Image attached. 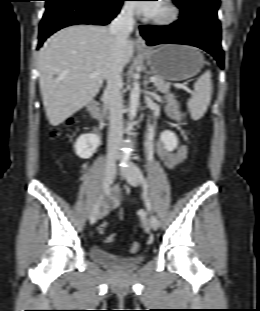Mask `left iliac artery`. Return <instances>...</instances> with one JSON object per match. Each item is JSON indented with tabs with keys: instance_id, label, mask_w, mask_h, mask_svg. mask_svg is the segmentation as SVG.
Listing matches in <instances>:
<instances>
[{
	"instance_id": "44dca946",
	"label": "left iliac artery",
	"mask_w": 260,
	"mask_h": 311,
	"mask_svg": "<svg viewBox=\"0 0 260 311\" xmlns=\"http://www.w3.org/2000/svg\"><path fill=\"white\" fill-rule=\"evenodd\" d=\"M135 167H136V170L138 172L139 179H140V182H141L143 190H144V197H145V200H146V206H147L149 211H152L151 202H150L149 197H148V184H147V181H146V179H145L141 169L139 168V166L136 165Z\"/></svg>"
}]
</instances>
